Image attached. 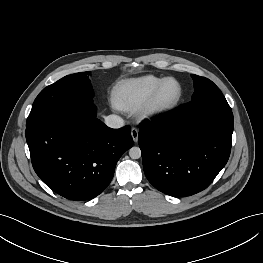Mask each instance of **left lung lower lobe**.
I'll return each instance as SVG.
<instances>
[{"mask_svg": "<svg viewBox=\"0 0 263 263\" xmlns=\"http://www.w3.org/2000/svg\"><path fill=\"white\" fill-rule=\"evenodd\" d=\"M232 110L188 113L181 105L139 126L144 173L159 191L174 197L207 188L229 159Z\"/></svg>", "mask_w": 263, "mask_h": 263, "instance_id": "0a47b994", "label": "left lung lower lobe"}]
</instances>
